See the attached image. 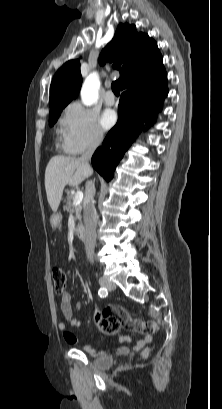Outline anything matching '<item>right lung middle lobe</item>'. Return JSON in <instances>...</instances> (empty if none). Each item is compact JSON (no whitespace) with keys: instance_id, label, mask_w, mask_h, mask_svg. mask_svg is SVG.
Masks as SVG:
<instances>
[{"instance_id":"obj_1","label":"right lung middle lobe","mask_w":222,"mask_h":409,"mask_svg":"<svg viewBox=\"0 0 222 409\" xmlns=\"http://www.w3.org/2000/svg\"><path fill=\"white\" fill-rule=\"evenodd\" d=\"M63 108L55 109L50 111V116H49V122L50 126L54 125L55 122L57 121L61 111Z\"/></svg>"}]
</instances>
